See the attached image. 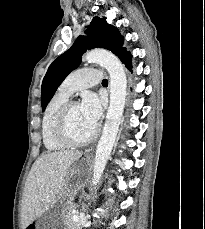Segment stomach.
Listing matches in <instances>:
<instances>
[{
  "instance_id": "0dacf381",
  "label": "stomach",
  "mask_w": 205,
  "mask_h": 229,
  "mask_svg": "<svg viewBox=\"0 0 205 229\" xmlns=\"http://www.w3.org/2000/svg\"><path fill=\"white\" fill-rule=\"evenodd\" d=\"M88 164L89 159L84 158L70 170L67 183L71 189L76 190L81 186L87 174ZM58 200L40 218L28 224L26 229H66L62 219V205L58 203Z\"/></svg>"
}]
</instances>
